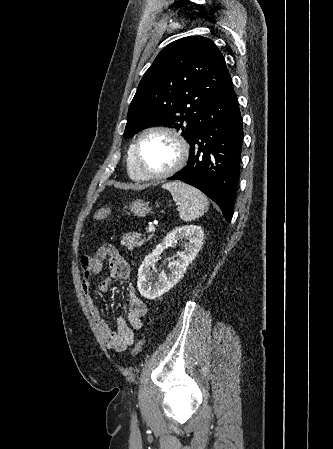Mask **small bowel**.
I'll list each match as a JSON object with an SVG mask.
<instances>
[{"label": "small bowel", "mask_w": 333, "mask_h": 449, "mask_svg": "<svg viewBox=\"0 0 333 449\" xmlns=\"http://www.w3.org/2000/svg\"><path fill=\"white\" fill-rule=\"evenodd\" d=\"M105 259L108 260L110 274L99 282L98 288L101 292H107L117 280H124L130 277V266L120 255L117 248L112 244H105L95 255H86L81 258V286L98 333L108 348L121 352L133 345L135 330L142 328L143 318L147 315L148 308L135 294L134 290L130 288L128 318H117L115 329L109 326L94 303L91 294L92 277L101 272Z\"/></svg>", "instance_id": "c3829d8e"}]
</instances>
